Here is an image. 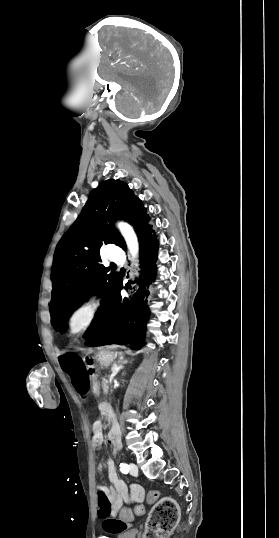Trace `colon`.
Masks as SVG:
<instances>
[{
  "mask_svg": "<svg viewBox=\"0 0 279 538\" xmlns=\"http://www.w3.org/2000/svg\"><path fill=\"white\" fill-rule=\"evenodd\" d=\"M97 492L99 514L102 517H108L112 514L113 509L107 490L105 487L99 485ZM158 499L159 493L157 491L148 492L147 502L154 504V507L147 523L145 538H166L176 526L179 519V507L175 500L165 498L159 501ZM134 511L137 515H141L144 512V507L137 505ZM120 516L123 520H130L132 518V512L129 509H124Z\"/></svg>",
  "mask_w": 279,
  "mask_h": 538,
  "instance_id": "1",
  "label": "colon"
}]
</instances>
